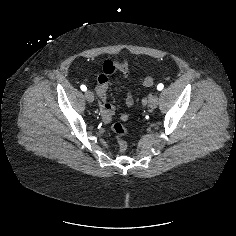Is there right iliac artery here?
I'll return each instance as SVG.
<instances>
[{"label": "right iliac artery", "mask_w": 236, "mask_h": 236, "mask_svg": "<svg viewBox=\"0 0 236 236\" xmlns=\"http://www.w3.org/2000/svg\"><path fill=\"white\" fill-rule=\"evenodd\" d=\"M80 88H81L82 91H86L87 90V87L85 85H81Z\"/></svg>", "instance_id": "82829eb1"}]
</instances>
